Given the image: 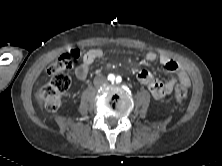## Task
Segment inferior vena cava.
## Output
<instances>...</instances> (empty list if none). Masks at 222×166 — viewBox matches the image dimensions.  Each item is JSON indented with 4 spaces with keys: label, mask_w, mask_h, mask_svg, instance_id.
<instances>
[{
    "label": "inferior vena cava",
    "mask_w": 222,
    "mask_h": 166,
    "mask_svg": "<svg viewBox=\"0 0 222 166\" xmlns=\"http://www.w3.org/2000/svg\"><path fill=\"white\" fill-rule=\"evenodd\" d=\"M106 82H107L106 77L102 76V75H99V76L95 77V79H94L95 86H100L101 84L106 83Z\"/></svg>",
    "instance_id": "inferior-vena-cava-1"
}]
</instances>
